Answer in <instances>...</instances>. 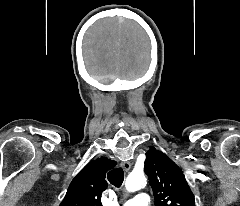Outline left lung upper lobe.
<instances>
[{"mask_svg": "<svg viewBox=\"0 0 240 206\" xmlns=\"http://www.w3.org/2000/svg\"><path fill=\"white\" fill-rule=\"evenodd\" d=\"M144 171L153 189L156 206H195L185 176L164 153L150 147Z\"/></svg>", "mask_w": 240, "mask_h": 206, "instance_id": "1", "label": "left lung upper lobe"}]
</instances>
